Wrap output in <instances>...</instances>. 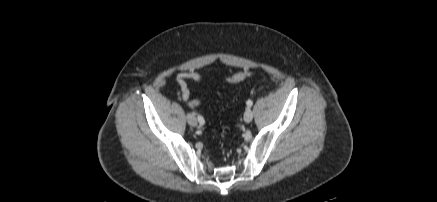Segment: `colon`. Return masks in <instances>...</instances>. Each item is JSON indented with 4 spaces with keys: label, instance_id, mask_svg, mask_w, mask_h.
<instances>
[{
    "label": "colon",
    "instance_id": "obj_1",
    "mask_svg": "<svg viewBox=\"0 0 437 202\" xmlns=\"http://www.w3.org/2000/svg\"><path fill=\"white\" fill-rule=\"evenodd\" d=\"M251 74L252 73L250 71L243 70V71H240V72L233 74L230 78H228L227 81L229 84H237V83L242 82L246 78L250 77Z\"/></svg>",
    "mask_w": 437,
    "mask_h": 202
}]
</instances>
